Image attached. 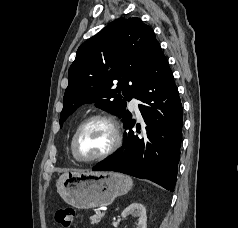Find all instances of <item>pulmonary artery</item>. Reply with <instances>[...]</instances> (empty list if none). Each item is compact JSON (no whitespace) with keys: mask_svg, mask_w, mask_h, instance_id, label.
<instances>
[{"mask_svg":"<svg viewBox=\"0 0 238 228\" xmlns=\"http://www.w3.org/2000/svg\"><path fill=\"white\" fill-rule=\"evenodd\" d=\"M130 108L132 110H134L135 112H139V109H138V101L136 99H132L131 102H130Z\"/></svg>","mask_w":238,"mask_h":228,"instance_id":"e3ab8cb5","label":"pulmonary artery"}]
</instances>
